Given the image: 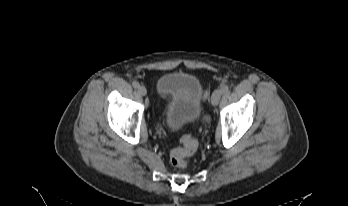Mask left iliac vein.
Returning a JSON list of instances; mask_svg holds the SVG:
<instances>
[{
	"label": "left iliac vein",
	"mask_w": 348,
	"mask_h": 206,
	"mask_svg": "<svg viewBox=\"0 0 348 206\" xmlns=\"http://www.w3.org/2000/svg\"><path fill=\"white\" fill-rule=\"evenodd\" d=\"M222 94L223 93H222L221 88H218V89H216L213 92L212 97H211V103H212L213 106H217L218 105Z\"/></svg>",
	"instance_id": "1"
}]
</instances>
